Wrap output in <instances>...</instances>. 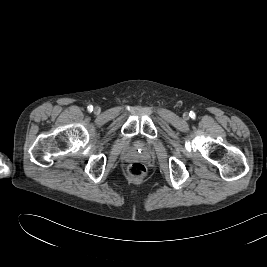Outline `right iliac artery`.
<instances>
[{"label":"right iliac artery","instance_id":"obj_1","mask_svg":"<svg viewBox=\"0 0 267 267\" xmlns=\"http://www.w3.org/2000/svg\"><path fill=\"white\" fill-rule=\"evenodd\" d=\"M87 109H88L89 112H92V111H93V106H92V105H89V106L87 107Z\"/></svg>","mask_w":267,"mask_h":267}]
</instances>
